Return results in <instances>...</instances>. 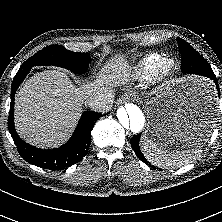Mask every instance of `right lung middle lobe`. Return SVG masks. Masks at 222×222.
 <instances>
[{
    "label": "right lung middle lobe",
    "mask_w": 222,
    "mask_h": 222,
    "mask_svg": "<svg viewBox=\"0 0 222 222\" xmlns=\"http://www.w3.org/2000/svg\"><path fill=\"white\" fill-rule=\"evenodd\" d=\"M89 53L67 50L61 45H51L37 52L23 66L53 65L64 67L76 74L85 73L91 62Z\"/></svg>",
    "instance_id": "dd1d6c3e"
}]
</instances>
